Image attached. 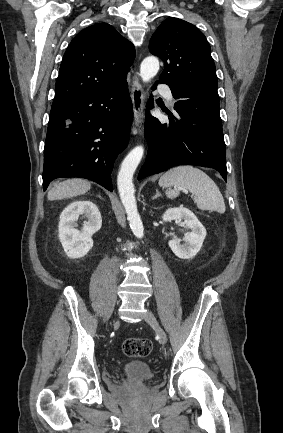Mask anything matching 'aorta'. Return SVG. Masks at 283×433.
I'll return each mask as SVG.
<instances>
[{
	"instance_id": "762f6f07",
	"label": "aorta",
	"mask_w": 283,
	"mask_h": 433,
	"mask_svg": "<svg viewBox=\"0 0 283 433\" xmlns=\"http://www.w3.org/2000/svg\"><path fill=\"white\" fill-rule=\"evenodd\" d=\"M159 71V60L154 56L146 57L140 66V77L143 82H149ZM144 154L142 145L133 148L121 164L117 177V187L120 199L127 214L130 228L137 238L144 236L143 223L137 210L135 189L132 182L134 172Z\"/></svg>"
}]
</instances>
